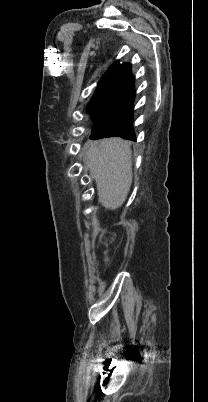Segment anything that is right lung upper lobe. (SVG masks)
Returning a JSON list of instances; mask_svg holds the SVG:
<instances>
[{"mask_svg": "<svg viewBox=\"0 0 208 402\" xmlns=\"http://www.w3.org/2000/svg\"><path fill=\"white\" fill-rule=\"evenodd\" d=\"M128 65H129L128 63L119 64L118 61H115L111 65L107 73H105L101 78L95 94L103 92L107 89H111L110 85L112 84V82L128 67ZM111 91L115 90L111 89Z\"/></svg>", "mask_w": 208, "mask_h": 402, "instance_id": "1", "label": "right lung upper lobe"}]
</instances>
